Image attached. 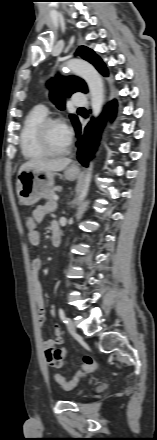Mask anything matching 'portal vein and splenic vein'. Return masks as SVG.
I'll list each match as a JSON object with an SVG mask.
<instances>
[{
  "label": "portal vein and splenic vein",
  "mask_w": 157,
  "mask_h": 440,
  "mask_svg": "<svg viewBox=\"0 0 157 440\" xmlns=\"http://www.w3.org/2000/svg\"><path fill=\"white\" fill-rule=\"evenodd\" d=\"M55 201H58L59 197L57 195L54 196L53 198Z\"/></svg>",
  "instance_id": "18ae733b"
}]
</instances>
